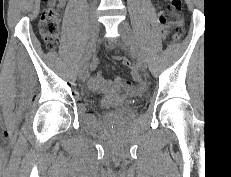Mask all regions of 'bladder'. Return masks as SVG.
Here are the masks:
<instances>
[{"instance_id":"31cf9c89","label":"bladder","mask_w":231,"mask_h":177,"mask_svg":"<svg viewBox=\"0 0 231 177\" xmlns=\"http://www.w3.org/2000/svg\"><path fill=\"white\" fill-rule=\"evenodd\" d=\"M129 101V98L121 93H114L101 98L99 105L102 109L112 108Z\"/></svg>"}]
</instances>
